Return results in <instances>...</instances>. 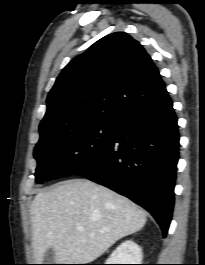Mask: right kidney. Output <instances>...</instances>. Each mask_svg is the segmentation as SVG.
<instances>
[{
    "label": "right kidney",
    "mask_w": 205,
    "mask_h": 265,
    "mask_svg": "<svg viewBox=\"0 0 205 265\" xmlns=\"http://www.w3.org/2000/svg\"><path fill=\"white\" fill-rule=\"evenodd\" d=\"M142 250L132 240L121 243L110 255L106 264H141Z\"/></svg>",
    "instance_id": "ca27d5eb"
}]
</instances>
